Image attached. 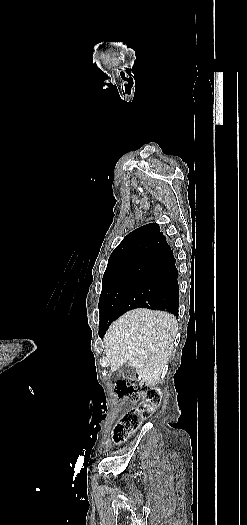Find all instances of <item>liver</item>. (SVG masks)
<instances>
[{"label": "liver", "mask_w": 247, "mask_h": 525, "mask_svg": "<svg viewBox=\"0 0 247 525\" xmlns=\"http://www.w3.org/2000/svg\"><path fill=\"white\" fill-rule=\"evenodd\" d=\"M178 323L174 315L151 309H132L110 325L103 337L111 371L124 363L148 385H158L168 371Z\"/></svg>", "instance_id": "obj_1"}]
</instances>
